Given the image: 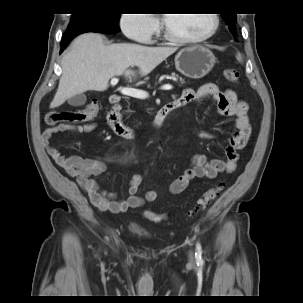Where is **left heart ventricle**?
Returning a JSON list of instances; mask_svg holds the SVG:
<instances>
[{"label": "left heart ventricle", "mask_w": 303, "mask_h": 303, "mask_svg": "<svg viewBox=\"0 0 303 303\" xmlns=\"http://www.w3.org/2000/svg\"><path fill=\"white\" fill-rule=\"evenodd\" d=\"M170 29L177 35L196 37L205 34L213 25L211 14H166Z\"/></svg>", "instance_id": "b2bd125f"}]
</instances>
